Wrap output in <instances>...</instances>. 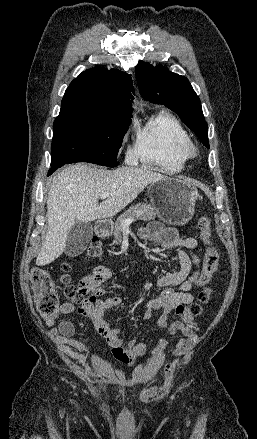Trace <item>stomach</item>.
Instances as JSON below:
<instances>
[{"instance_id": "1", "label": "stomach", "mask_w": 257, "mask_h": 439, "mask_svg": "<svg viewBox=\"0 0 257 439\" xmlns=\"http://www.w3.org/2000/svg\"><path fill=\"white\" fill-rule=\"evenodd\" d=\"M148 192L160 219L183 225L192 218L198 191L187 180L165 177L152 182Z\"/></svg>"}]
</instances>
